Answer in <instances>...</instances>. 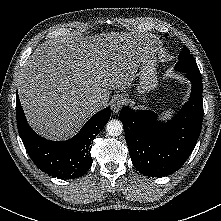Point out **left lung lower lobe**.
<instances>
[{
    "label": "left lung lower lobe",
    "instance_id": "1",
    "mask_svg": "<svg viewBox=\"0 0 221 221\" xmlns=\"http://www.w3.org/2000/svg\"><path fill=\"white\" fill-rule=\"evenodd\" d=\"M192 83L189 101L175 117L161 123L150 110L124 107L120 120L134 167L143 175L162 177L177 171L192 153L203 121L201 74L187 73Z\"/></svg>",
    "mask_w": 221,
    "mask_h": 221
}]
</instances>
